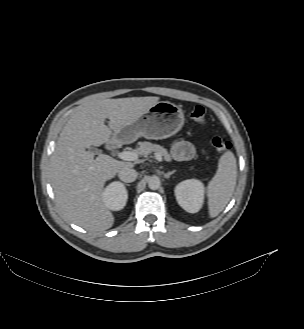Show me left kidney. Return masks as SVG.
<instances>
[{
  "label": "left kidney",
  "mask_w": 304,
  "mask_h": 329,
  "mask_svg": "<svg viewBox=\"0 0 304 329\" xmlns=\"http://www.w3.org/2000/svg\"><path fill=\"white\" fill-rule=\"evenodd\" d=\"M204 184L197 179H188L175 187L178 204L189 213L198 212L204 203Z\"/></svg>",
  "instance_id": "obj_1"
}]
</instances>
